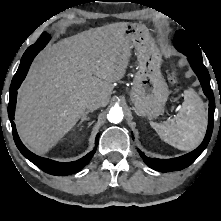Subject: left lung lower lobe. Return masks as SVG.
Listing matches in <instances>:
<instances>
[{
    "label": "left lung lower lobe",
    "mask_w": 221,
    "mask_h": 221,
    "mask_svg": "<svg viewBox=\"0 0 221 221\" xmlns=\"http://www.w3.org/2000/svg\"><path fill=\"white\" fill-rule=\"evenodd\" d=\"M188 61L192 69L198 76L205 95L209 99V119H208L207 133L202 144L197 149L178 158H173V159L148 158L144 155V153L139 151L140 156L143 158L144 162L152 169L160 171V172L182 170L188 167L204 151V149L207 147L209 140L211 138V134L213 130V122H214L215 103H214L213 91L210 87V76L208 74L206 67L202 63L203 62L202 60H198L196 58L188 56Z\"/></svg>",
    "instance_id": "left-lung-lower-lobe-1"
}]
</instances>
